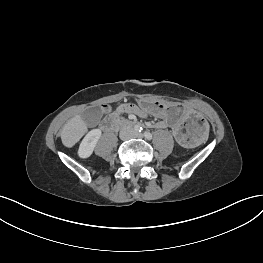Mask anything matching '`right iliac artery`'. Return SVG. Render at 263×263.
Returning <instances> with one entry per match:
<instances>
[{"instance_id":"right-iliac-artery-1","label":"right iliac artery","mask_w":263,"mask_h":263,"mask_svg":"<svg viewBox=\"0 0 263 263\" xmlns=\"http://www.w3.org/2000/svg\"><path fill=\"white\" fill-rule=\"evenodd\" d=\"M135 130L138 131V132H141L143 130V128L141 126H136Z\"/></svg>"}]
</instances>
